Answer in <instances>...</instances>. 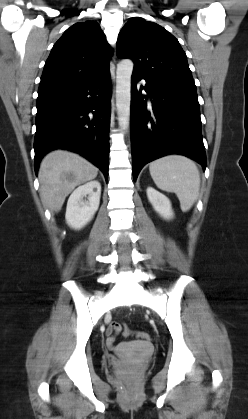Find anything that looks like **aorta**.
<instances>
[{"mask_svg": "<svg viewBox=\"0 0 248 419\" xmlns=\"http://www.w3.org/2000/svg\"><path fill=\"white\" fill-rule=\"evenodd\" d=\"M133 61L123 59L117 65L116 70V107L119 126L127 130L130 121L131 104V75L133 72Z\"/></svg>", "mask_w": 248, "mask_h": 419, "instance_id": "obj_1", "label": "aorta"}]
</instances>
